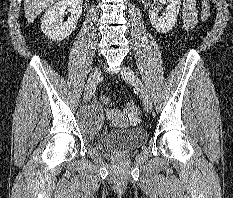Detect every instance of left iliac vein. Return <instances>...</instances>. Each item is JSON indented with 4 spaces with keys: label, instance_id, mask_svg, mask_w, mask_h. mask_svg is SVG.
Masks as SVG:
<instances>
[{
    "label": "left iliac vein",
    "instance_id": "4c4485c4",
    "mask_svg": "<svg viewBox=\"0 0 233 198\" xmlns=\"http://www.w3.org/2000/svg\"><path fill=\"white\" fill-rule=\"evenodd\" d=\"M121 74L125 81L135 85L139 89L145 110L147 112H150L152 110L151 97H150V94L147 88L142 83V81L139 79L138 75L130 67H127V66H124L122 68Z\"/></svg>",
    "mask_w": 233,
    "mask_h": 198
}]
</instances>
